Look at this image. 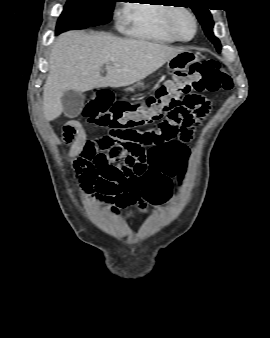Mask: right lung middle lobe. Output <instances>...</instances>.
<instances>
[{"label":"right lung middle lobe","mask_w":270,"mask_h":338,"mask_svg":"<svg viewBox=\"0 0 270 338\" xmlns=\"http://www.w3.org/2000/svg\"><path fill=\"white\" fill-rule=\"evenodd\" d=\"M118 0H67L60 15L56 34L108 23Z\"/></svg>","instance_id":"obj_1"}]
</instances>
